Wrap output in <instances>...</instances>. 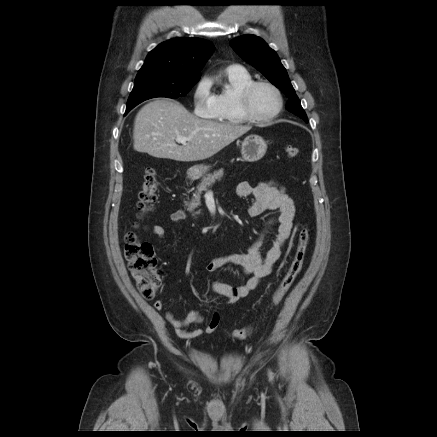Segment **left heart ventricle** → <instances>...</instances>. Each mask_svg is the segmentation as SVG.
<instances>
[{
  "mask_svg": "<svg viewBox=\"0 0 437 437\" xmlns=\"http://www.w3.org/2000/svg\"><path fill=\"white\" fill-rule=\"evenodd\" d=\"M251 105L256 115L266 117L276 110L278 102L275 93L270 88L260 86L252 95Z\"/></svg>",
  "mask_w": 437,
  "mask_h": 437,
  "instance_id": "1",
  "label": "left heart ventricle"
}]
</instances>
